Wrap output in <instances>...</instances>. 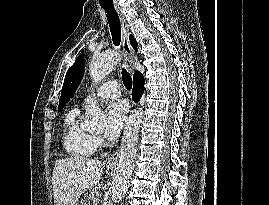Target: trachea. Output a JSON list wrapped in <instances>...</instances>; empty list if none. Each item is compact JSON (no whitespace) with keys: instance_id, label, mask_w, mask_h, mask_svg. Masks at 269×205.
I'll return each mask as SVG.
<instances>
[{"instance_id":"trachea-1","label":"trachea","mask_w":269,"mask_h":205,"mask_svg":"<svg viewBox=\"0 0 269 205\" xmlns=\"http://www.w3.org/2000/svg\"><path fill=\"white\" fill-rule=\"evenodd\" d=\"M101 7L105 10L110 32L112 35V40L115 46H119L121 42V27L120 20L118 14L114 8V6L109 5H101ZM122 80L125 87L130 90L132 88V78L126 69L122 68L121 71Z\"/></svg>"}]
</instances>
